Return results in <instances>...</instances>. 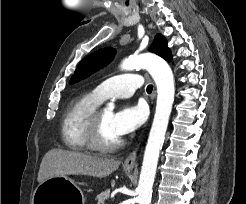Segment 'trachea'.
<instances>
[{"label": "trachea", "mask_w": 246, "mask_h": 204, "mask_svg": "<svg viewBox=\"0 0 246 204\" xmlns=\"http://www.w3.org/2000/svg\"><path fill=\"white\" fill-rule=\"evenodd\" d=\"M152 90H153V85H151V84L148 85V86H147V92H148V93H151Z\"/></svg>", "instance_id": "3493384b"}]
</instances>
